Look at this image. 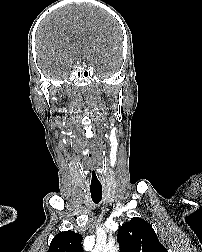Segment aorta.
<instances>
[{
	"mask_svg": "<svg viewBox=\"0 0 202 252\" xmlns=\"http://www.w3.org/2000/svg\"><path fill=\"white\" fill-rule=\"evenodd\" d=\"M92 252H118V247L114 244H102L99 243L95 246Z\"/></svg>",
	"mask_w": 202,
	"mask_h": 252,
	"instance_id": "1",
	"label": "aorta"
}]
</instances>
